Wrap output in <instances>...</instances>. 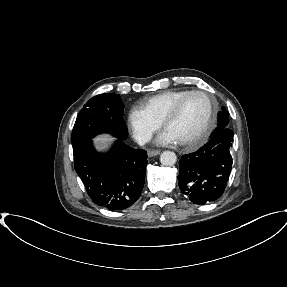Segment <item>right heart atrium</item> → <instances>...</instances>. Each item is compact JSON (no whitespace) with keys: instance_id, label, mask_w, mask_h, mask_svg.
<instances>
[{"instance_id":"d8ad5b80","label":"right heart atrium","mask_w":287,"mask_h":287,"mask_svg":"<svg viewBox=\"0 0 287 287\" xmlns=\"http://www.w3.org/2000/svg\"><path fill=\"white\" fill-rule=\"evenodd\" d=\"M127 124L133 137L141 144L150 142L161 126L139 108H132L129 111Z\"/></svg>"}]
</instances>
